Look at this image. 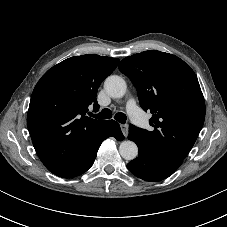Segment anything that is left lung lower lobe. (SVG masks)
Segmentation results:
<instances>
[{
    "label": "left lung lower lobe",
    "mask_w": 227,
    "mask_h": 227,
    "mask_svg": "<svg viewBox=\"0 0 227 227\" xmlns=\"http://www.w3.org/2000/svg\"><path fill=\"white\" fill-rule=\"evenodd\" d=\"M128 139L134 141L139 148V156L127 164L132 174L145 181H160L172 175L183 160L165 155L143 141L140 131L129 126Z\"/></svg>",
    "instance_id": "obj_1"
}]
</instances>
